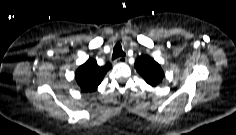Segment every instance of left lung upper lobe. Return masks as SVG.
Returning a JSON list of instances; mask_svg holds the SVG:
<instances>
[{
    "label": "left lung upper lobe",
    "instance_id": "5c2ea615",
    "mask_svg": "<svg viewBox=\"0 0 236 135\" xmlns=\"http://www.w3.org/2000/svg\"><path fill=\"white\" fill-rule=\"evenodd\" d=\"M135 68L144 80L153 87L157 86L164 77L161 66L147 55H141L136 59Z\"/></svg>",
    "mask_w": 236,
    "mask_h": 135
}]
</instances>
